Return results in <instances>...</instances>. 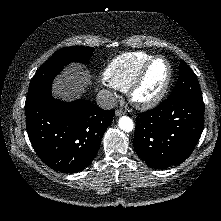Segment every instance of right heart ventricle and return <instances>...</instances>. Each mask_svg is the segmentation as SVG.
<instances>
[{
	"label": "right heart ventricle",
	"instance_id": "e07e8e85",
	"mask_svg": "<svg viewBox=\"0 0 221 221\" xmlns=\"http://www.w3.org/2000/svg\"><path fill=\"white\" fill-rule=\"evenodd\" d=\"M153 55L146 52H129L114 58L104 70V78L116 89L126 92L142 66Z\"/></svg>",
	"mask_w": 221,
	"mask_h": 221
}]
</instances>
